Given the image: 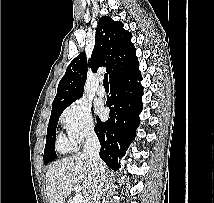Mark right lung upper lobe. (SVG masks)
<instances>
[{
  "label": "right lung upper lobe",
  "mask_w": 214,
  "mask_h": 203,
  "mask_svg": "<svg viewBox=\"0 0 214 203\" xmlns=\"http://www.w3.org/2000/svg\"><path fill=\"white\" fill-rule=\"evenodd\" d=\"M131 38L132 34L123 29V23L102 16L96 28L95 46L89 66L94 71L106 66L111 81L137 65L136 48ZM86 78L87 58L83 52L70 62L60 80L51 113L81 98Z\"/></svg>",
  "instance_id": "obj_1"
}]
</instances>
